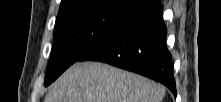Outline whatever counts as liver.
Instances as JSON below:
<instances>
[{
    "label": "liver",
    "mask_w": 221,
    "mask_h": 102,
    "mask_svg": "<svg viewBox=\"0 0 221 102\" xmlns=\"http://www.w3.org/2000/svg\"><path fill=\"white\" fill-rule=\"evenodd\" d=\"M165 88L143 76L100 62L72 65L44 102H161Z\"/></svg>",
    "instance_id": "liver-1"
}]
</instances>
